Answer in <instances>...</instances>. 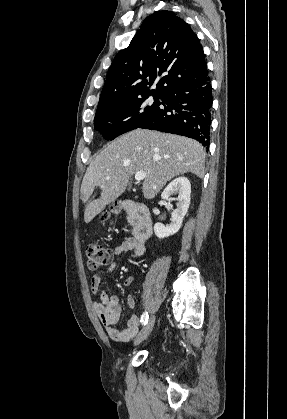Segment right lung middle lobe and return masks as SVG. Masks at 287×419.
Wrapping results in <instances>:
<instances>
[{"label": "right lung middle lobe", "instance_id": "1", "mask_svg": "<svg viewBox=\"0 0 287 419\" xmlns=\"http://www.w3.org/2000/svg\"><path fill=\"white\" fill-rule=\"evenodd\" d=\"M150 95L123 101L96 111L94 126L107 140H113L127 131L138 128L158 108L160 95H152L154 102H147Z\"/></svg>", "mask_w": 287, "mask_h": 419}]
</instances>
